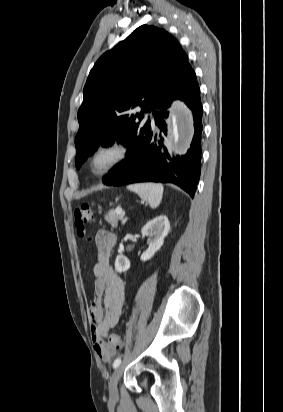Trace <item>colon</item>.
Wrapping results in <instances>:
<instances>
[{
  "label": "colon",
  "instance_id": "colon-1",
  "mask_svg": "<svg viewBox=\"0 0 283 412\" xmlns=\"http://www.w3.org/2000/svg\"><path fill=\"white\" fill-rule=\"evenodd\" d=\"M94 211L89 204H81L76 207L74 211L75 225L77 227V232L81 237L87 235V226L94 222ZM121 347L120 337L116 334H112L108 339L103 342V351H112L119 349Z\"/></svg>",
  "mask_w": 283,
  "mask_h": 412
}]
</instances>
